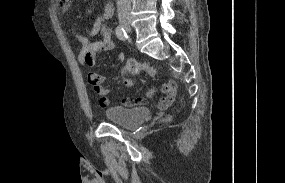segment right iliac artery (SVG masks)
Listing matches in <instances>:
<instances>
[{"label": "right iliac artery", "mask_w": 285, "mask_h": 183, "mask_svg": "<svg viewBox=\"0 0 285 183\" xmlns=\"http://www.w3.org/2000/svg\"><path fill=\"white\" fill-rule=\"evenodd\" d=\"M117 37L120 40H126L127 39V33L125 31V29L122 26H118L115 30Z\"/></svg>", "instance_id": "obj_1"}]
</instances>
